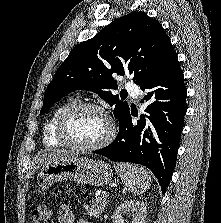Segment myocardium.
Wrapping results in <instances>:
<instances>
[{
  "label": "myocardium",
  "mask_w": 221,
  "mask_h": 223,
  "mask_svg": "<svg viewBox=\"0 0 221 223\" xmlns=\"http://www.w3.org/2000/svg\"><path fill=\"white\" fill-rule=\"evenodd\" d=\"M87 109L100 112L102 115L105 116L109 125V130L106 136L103 139H101L99 142L93 145H81V144L74 143L67 137V134H66V125H67L68 120L71 118V116L78 111L87 110ZM115 135H116V125L110 113L104 107L95 103H90V102H77L68 106L61 113L57 121L56 129H55V136L58 141H60L62 144H64L68 148L75 151H80V152H93V151L100 150L106 147L107 145H109L115 138Z\"/></svg>",
  "instance_id": "1"
}]
</instances>
